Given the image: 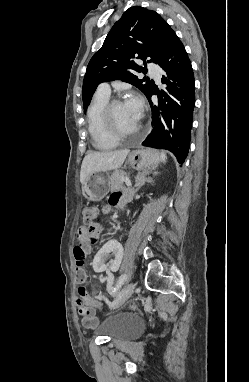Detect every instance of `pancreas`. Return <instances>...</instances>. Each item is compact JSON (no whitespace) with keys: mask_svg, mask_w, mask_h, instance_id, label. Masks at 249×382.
<instances>
[{"mask_svg":"<svg viewBox=\"0 0 249 382\" xmlns=\"http://www.w3.org/2000/svg\"><path fill=\"white\" fill-rule=\"evenodd\" d=\"M126 172L122 170H115L110 177L109 187L111 190H117L123 188V181H121V177H124Z\"/></svg>","mask_w":249,"mask_h":382,"instance_id":"cf45deb5","label":"pancreas"}]
</instances>
